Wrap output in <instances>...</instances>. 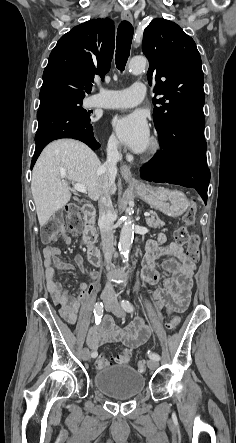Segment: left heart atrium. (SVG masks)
<instances>
[{"instance_id": "39dd6f15", "label": "left heart atrium", "mask_w": 236, "mask_h": 443, "mask_svg": "<svg viewBox=\"0 0 236 443\" xmlns=\"http://www.w3.org/2000/svg\"><path fill=\"white\" fill-rule=\"evenodd\" d=\"M116 139L135 152L144 151L150 141L146 117L141 112L114 115L109 120Z\"/></svg>"}]
</instances>
